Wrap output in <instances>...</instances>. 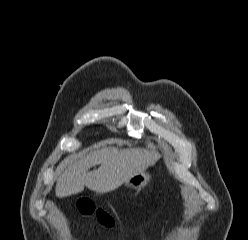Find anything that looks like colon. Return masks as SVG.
I'll return each mask as SVG.
<instances>
[{"label":"colon","instance_id":"obj_1","mask_svg":"<svg viewBox=\"0 0 248 240\" xmlns=\"http://www.w3.org/2000/svg\"><path fill=\"white\" fill-rule=\"evenodd\" d=\"M77 210L83 216L94 217L102 226L111 228L115 224L114 217L105 209L96 207L90 200L83 199L77 202Z\"/></svg>","mask_w":248,"mask_h":240}]
</instances>
